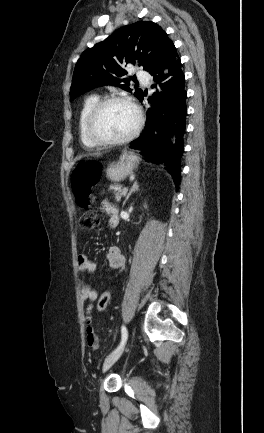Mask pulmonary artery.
Wrapping results in <instances>:
<instances>
[{
	"label": "pulmonary artery",
	"instance_id": "pulmonary-artery-1",
	"mask_svg": "<svg viewBox=\"0 0 264 433\" xmlns=\"http://www.w3.org/2000/svg\"><path fill=\"white\" fill-rule=\"evenodd\" d=\"M137 78L139 80H145L147 78V74L144 71H137Z\"/></svg>",
	"mask_w": 264,
	"mask_h": 433
}]
</instances>
